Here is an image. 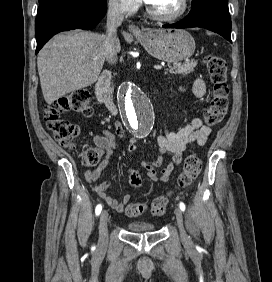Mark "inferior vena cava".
Segmentation results:
<instances>
[{"label":"inferior vena cava","mask_w":272,"mask_h":282,"mask_svg":"<svg viewBox=\"0 0 272 282\" xmlns=\"http://www.w3.org/2000/svg\"><path fill=\"white\" fill-rule=\"evenodd\" d=\"M124 6L117 1L109 3L107 13V30L105 34L106 59L114 64L117 59L115 43L117 42V28L122 24L124 19Z\"/></svg>","instance_id":"1"}]
</instances>
